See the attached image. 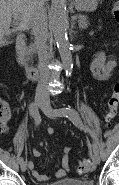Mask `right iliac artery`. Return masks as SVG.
Instances as JSON below:
<instances>
[{"label": "right iliac artery", "instance_id": "right-iliac-artery-1", "mask_svg": "<svg viewBox=\"0 0 119 185\" xmlns=\"http://www.w3.org/2000/svg\"><path fill=\"white\" fill-rule=\"evenodd\" d=\"M30 110V114H31V118H34L33 120L35 121V124H40L41 122L39 121L40 119L38 118L39 116V112L38 109L36 107L35 103H32L29 107ZM23 162V157L19 158V163Z\"/></svg>", "mask_w": 119, "mask_h": 185}]
</instances>
